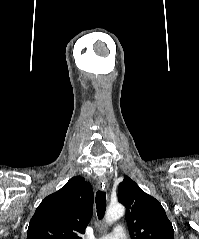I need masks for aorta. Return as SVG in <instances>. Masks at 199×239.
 Wrapping results in <instances>:
<instances>
[{
  "label": "aorta",
  "instance_id": "1",
  "mask_svg": "<svg viewBox=\"0 0 199 239\" xmlns=\"http://www.w3.org/2000/svg\"><path fill=\"white\" fill-rule=\"evenodd\" d=\"M125 213V208L123 205L116 203V204H111L106 213V222L108 224L115 222L119 218H121Z\"/></svg>",
  "mask_w": 199,
  "mask_h": 239
}]
</instances>
